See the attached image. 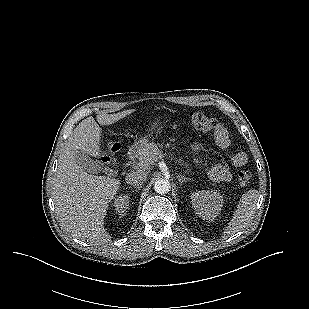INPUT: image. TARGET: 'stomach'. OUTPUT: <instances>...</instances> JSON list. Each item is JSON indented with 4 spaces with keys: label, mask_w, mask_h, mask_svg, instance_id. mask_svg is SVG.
Instances as JSON below:
<instances>
[{
    "label": "stomach",
    "mask_w": 309,
    "mask_h": 309,
    "mask_svg": "<svg viewBox=\"0 0 309 309\" xmlns=\"http://www.w3.org/2000/svg\"><path fill=\"white\" fill-rule=\"evenodd\" d=\"M159 127V121L155 120L154 122L150 123L149 127L146 130V133L139 139L137 143H135L134 148L139 151L143 148L145 144L149 141V139L153 136L156 130Z\"/></svg>",
    "instance_id": "1"
}]
</instances>
